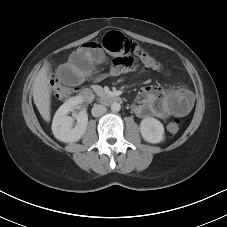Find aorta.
I'll return each instance as SVG.
<instances>
[{
	"label": "aorta",
	"mask_w": 227,
	"mask_h": 227,
	"mask_svg": "<svg viewBox=\"0 0 227 227\" xmlns=\"http://www.w3.org/2000/svg\"><path fill=\"white\" fill-rule=\"evenodd\" d=\"M120 109H121L120 103H117V102L112 103L111 110L113 112H118V111H120Z\"/></svg>",
	"instance_id": "aorta-1"
}]
</instances>
